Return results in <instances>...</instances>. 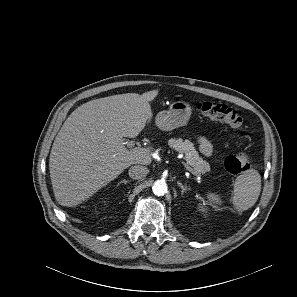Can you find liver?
<instances>
[{"mask_svg":"<svg viewBox=\"0 0 297 297\" xmlns=\"http://www.w3.org/2000/svg\"><path fill=\"white\" fill-rule=\"evenodd\" d=\"M159 90L126 93L86 102L75 109L57 134L49 169L55 198L76 206L131 165H149V148L127 149L152 119L151 102Z\"/></svg>","mask_w":297,"mask_h":297,"instance_id":"6515ba94","label":"liver"}]
</instances>
